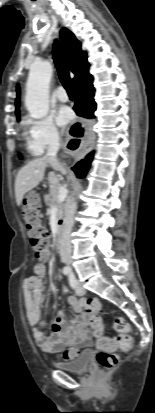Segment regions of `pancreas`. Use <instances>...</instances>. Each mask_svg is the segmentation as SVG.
I'll return each instance as SVG.
<instances>
[{
  "instance_id": "1",
  "label": "pancreas",
  "mask_w": 155,
  "mask_h": 413,
  "mask_svg": "<svg viewBox=\"0 0 155 413\" xmlns=\"http://www.w3.org/2000/svg\"><path fill=\"white\" fill-rule=\"evenodd\" d=\"M60 185L55 183L51 186L49 190V194L45 195V202L49 207L56 206L57 207V219L60 220L63 217V213L65 210V204L63 202L58 201V191Z\"/></svg>"
}]
</instances>
